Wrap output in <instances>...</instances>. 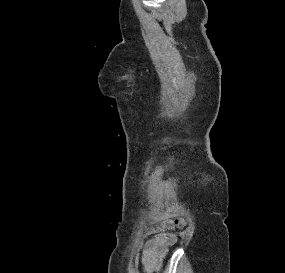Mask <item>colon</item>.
Instances as JSON below:
<instances>
[{
  "mask_svg": "<svg viewBox=\"0 0 285 273\" xmlns=\"http://www.w3.org/2000/svg\"><path fill=\"white\" fill-rule=\"evenodd\" d=\"M175 226L181 227L184 225V221L182 219H176L174 222Z\"/></svg>",
  "mask_w": 285,
  "mask_h": 273,
  "instance_id": "obj_1",
  "label": "colon"
}]
</instances>
